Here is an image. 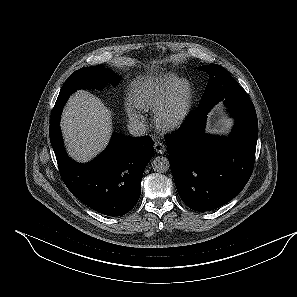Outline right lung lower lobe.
I'll use <instances>...</instances> for the list:
<instances>
[{
    "mask_svg": "<svg viewBox=\"0 0 297 297\" xmlns=\"http://www.w3.org/2000/svg\"><path fill=\"white\" fill-rule=\"evenodd\" d=\"M63 107L54 106L49 129L60 175L80 201L108 216H122L137 203L144 169L154 149L148 136L114 134L107 149L96 159L79 164L66 154L60 131Z\"/></svg>",
    "mask_w": 297,
    "mask_h": 297,
    "instance_id": "98d812e1",
    "label": "right lung lower lobe"
}]
</instances>
